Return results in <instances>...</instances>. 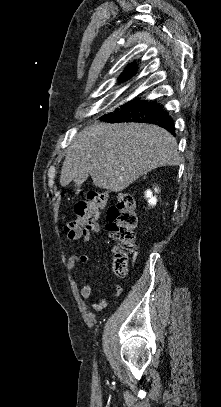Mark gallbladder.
<instances>
[{
  "label": "gallbladder",
  "instance_id": "bac80fb5",
  "mask_svg": "<svg viewBox=\"0 0 221 407\" xmlns=\"http://www.w3.org/2000/svg\"><path fill=\"white\" fill-rule=\"evenodd\" d=\"M88 177H89V174H88L87 172H84V173L79 174V175L74 179L75 185H76L77 187H79L81 184H83V183L88 179Z\"/></svg>",
  "mask_w": 221,
  "mask_h": 407
}]
</instances>
